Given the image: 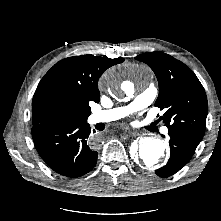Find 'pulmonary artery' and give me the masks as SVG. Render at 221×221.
I'll use <instances>...</instances> for the list:
<instances>
[{
  "instance_id": "e3ab8cb5",
  "label": "pulmonary artery",
  "mask_w": 221,
  "mask_h": 221,
  "mask_svg": "<svg viewBox=\"0 0 221 221\" xmlns=\"http://www.w3.org/2000/svg\"><path fill=\"white\" fill-rule=\"evenodd\" d=\"M157 92V88L154 85H150L141 91L131 104L108 110L95 111L91 114L90 121L91 123L96 124L121 119L135 111L148 107L156 98ZM162 131L167 134L168 128L164 127Z\"/></svg>"
}]
</instances>
